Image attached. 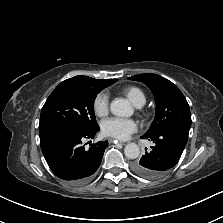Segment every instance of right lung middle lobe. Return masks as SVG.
I'll return each instance as SVG.
<instances>
[{
	"instance_id": "dd1d6c3e",
	"label": "right lung middle lobe",
	"mask_w": 223,
	"mask_h": 223,
	"mask_svg": "<svg viewBox=\"0 0 223 223\" xmlns=\"http://www.w3.org/2000/svg\"><path fill=\"white\" fill-rule=\"evenodd\" d=\"M110 83L65 82L60 83L46 100L40 115L39 132L61 125L84 130L98 127L94 115L97 94Z\"/></svg>"
}]
</instances>
